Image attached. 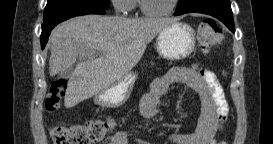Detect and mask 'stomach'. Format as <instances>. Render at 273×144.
I'll return each instance as SVG.
<instances>
[{
  "label": "stomach",
  "mask_w": 273,
  "mask_h": 144,
  "mask_svg": "<svg viewBox=\"0 0 273 144\" xmlns=\"http://www.w3.org/2000/svg\"><path fill=\"white\" fill-rule=\"evenodd\" d=\"M195 48V31L187 23L175 21L164 27L157 36L156 49L168 60L188 57ZM136 72H129L122 80L95 96V103L114 108L124 104L130 97L137 80Z\"/></svg>",
  "instance_id": "1"
}]
</instances>
